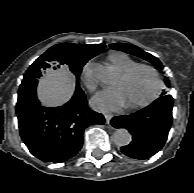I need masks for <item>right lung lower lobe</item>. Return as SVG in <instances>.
I'll list each match as a JSON object with an SVG mask.
<instances>
[{
  "instance_id": "obj_1",
  "label": "right lung lower lobe",
  "mask_w": 194,
  "mask_h": 193,
  "mask_svg": "<svg viewBox=\"0 0 194 193\" xmlns=\"http://www.w3.org/2000/svg\"><path fill=\"white\" fill-rule=\"evenodd\" d=\"M20 135L30 152L43 162H64L82 147L83 133L91 124H104V117L87 106L83 93L57 108L40 105L36 97L17 102Z\"/></svg>"
}]
</instances>
